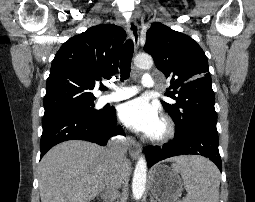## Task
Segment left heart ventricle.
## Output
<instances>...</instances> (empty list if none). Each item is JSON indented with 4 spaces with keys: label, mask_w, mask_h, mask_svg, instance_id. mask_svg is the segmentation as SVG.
Segmentation results:
<instances>
[{
    "label": "left heart ventricle",
    "mask_w": 255,
    "mask_h": 202,
    "mask_svg": "<svg viewBox=\"0 0 255 202\" xmlns=\"http://www.w3.org/2000/svg\"><path fill=\"white\" fill-rule=\"evenodd\" d=\"M160 130H161V124H159V126L157 127V129L155 130V132L153 134L160 132Z\"/></svg>",
    "instance_id": "b2bd125f"
}]
</instances>
